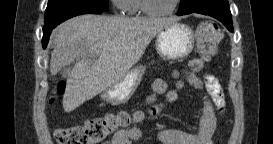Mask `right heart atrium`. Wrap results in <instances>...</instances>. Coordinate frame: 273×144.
<instances>
[{"label": "right heart atrium", "instance_id": "obj_1", "mask_svg": "<svg viewBox=\"0 0 273 144\" xmlns=\"http://www.w3.org/2000/svg\"><path fill=\"white\" fill-rule=\"evenodd\" d=\"M127 0H111V3L116 11H125V3Z\"/></svg>", "mask_w": 273, "mask_h": 144}]
</instances>
